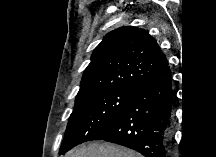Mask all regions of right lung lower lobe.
Segmentation results:
<instances>
[{"label": "right lung lower lobe", "mask_w": 216, "mask_h": 157, "mask_svg": "<svg viewBox=\"0 0 216 157\" xmlns=\"http://www.w3.org/2000/svg\"><path fill=\"white\" fill-rule=\"evenodd\" d=\"M172 102V76L167 65L152 78L133 87L119 117L92 140L127 146L144 157H168Z\"/></svg>", "instance_id": "obj_1"}]
</instances>
